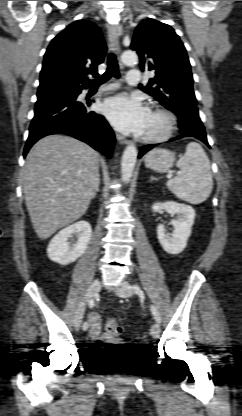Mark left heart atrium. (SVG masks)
<instances>
[{"mask_svg": "<svg viewBox=\"0 0 242 416\" xmlns=\"http://www.w3.org/2000/svg\"><path fill=\"white\" fill-rule=\"evenodd\" d=\"M102 112L117 130L137 135L143 134L149 114L139 98L124 93L107 99Z\"/></svg>", "mask_w": 242, "mask_h": 416, "instance_id": "1", "label": "left heart atrium"}]
</instances>
